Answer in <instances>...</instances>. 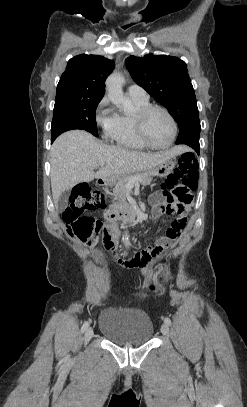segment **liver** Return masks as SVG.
<instances>
[{
	"mask_svg": "<svg viewBox=\"0 0 247 407\" xmlns=\"http://www.w3.org/2000/svg\"><path fill=\"white\" fill-rule=\"evenodd\" d=\"M186 150V147L176 146L167 151L144 153L106 145L82 130L63 133L54 141L50 153L54 204L57 206L63 192L81 182L150 170ZM99 166L95 173L94 169Z\"/></svg>",
	"mask_w": 247,
	"mask_h": 407,
	"instance_id": "obj_1",
	"label": "liver"
}]
</instances>
